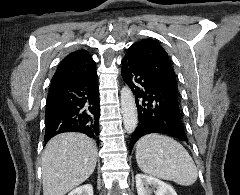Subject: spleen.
Returning <instances> with one entry per match:
<instances>
[{
    "label": "spleen",
    "instance_id": "obj_1",
    "mask_svg": "<svg viewBox=\"0 0 240 195\" xmlns=\"http://www.w3.org/2000/svg\"><path fill=\"white\" fill-rule=\"evenodd\" d=\"M136 161L149 175L170 179L179 185H192L198 169L187 149L168 135L148 133L136 143Z\"/></svg>",
    "mask_w": 240,
    "mask_h": 195
}]
</instances>
